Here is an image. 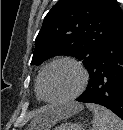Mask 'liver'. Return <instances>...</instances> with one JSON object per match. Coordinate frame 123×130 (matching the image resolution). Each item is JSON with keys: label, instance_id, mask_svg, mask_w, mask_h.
Returning a JSON list of instances; mask_svg holds the SVG:
<instances>
[{"label": "liver", "instance_id": "obj_1", "mask_svg": "<svg viewBox=\"0 0 123 130\" xmlns=\"http://www.w3.org/2000/svg\"><path fill=\"white\" fill-rule=\"evenodd\" d=\"M79 104H69L64 107L46 106L36 112L30 124L31 130H49L58 121L82 110Z\"/></svg>", "mask_w": 123, "mask_h": 130}]
</instances>
